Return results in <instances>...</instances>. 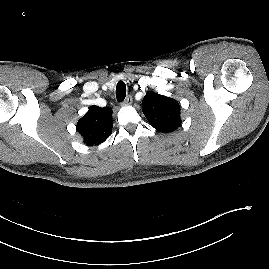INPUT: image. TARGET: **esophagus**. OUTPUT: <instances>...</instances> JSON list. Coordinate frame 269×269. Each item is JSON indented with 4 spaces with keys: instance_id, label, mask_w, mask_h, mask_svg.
<instances>
[{
    "instance_id": "obj_1",
    "label": "esophagus",
    "mask_w": 269,
    "mask_h": 269,
    "mask_svg": "<svg viewBox=\"0 0 269 269\" xmlns=\"http://www.w3.org/2000/svg\"><path fill=\"white\" fill-rule=\"evenodd\" d=\"M132 101H133L132 96L131 95H128L126 97V99L122 102V105H125V106L130 105L132 103Z\"/></svg>"
}]
</instances>
